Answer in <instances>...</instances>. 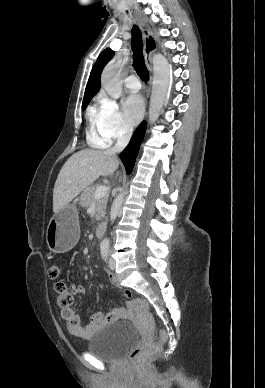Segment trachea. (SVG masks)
Returning <instances> with one entry per match:
<instances>
[{"mask_svg":"<svg viewBox=\"0 0 265 388\" xmlns=\"http://www.w3.org/2000/svg\"><path fill=\"white\" fill-rule=\"evenodd\" d=\"M131 43H132V50L134 55V61H133L134 69L136 70L139 77L145 82H147L149 79V75H148L147 68L145 66L143 52H142L143 50L142 35L137 25H134L132 28Z\"/></svg>","mask_w":265,"mask_h":388,"instance_id":"obj_1","label":"trachea"}]
</instances>
